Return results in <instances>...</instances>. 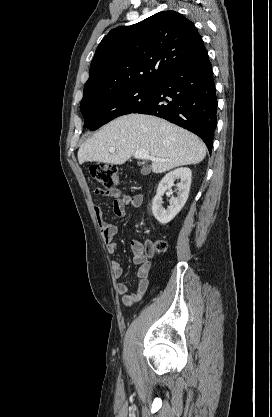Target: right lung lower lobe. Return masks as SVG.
Here are the masks:
<instances>
[{"instance_id":"obj_1","label":"right lung lower lobe","mask_w":272,"mask_h":417,"mask_svg":"<svg viewBox=\"0 0 272 417\" xmlns=\"http://www.w3.org/2000/svg\"><path fill=\"white\" fill-rule=\"evenodd\" d=\"M215 85L207 50L155 83L153 96L132 113L164 118L198 135L212 149L217 124Z\"/></svg>"}]
</instances>
